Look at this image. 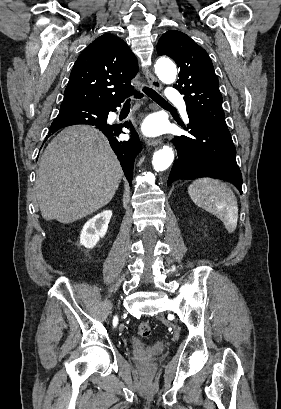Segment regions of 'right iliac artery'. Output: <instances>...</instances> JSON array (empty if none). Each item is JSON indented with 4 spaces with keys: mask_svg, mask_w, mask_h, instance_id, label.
Segmentation results:
<instances>
[{
    "mask_svg": "<svg viewBox=\"0 0 281 409\" xmlns=\"http://www.w3.org/2000/svg\"><path fill=\"white\" fill-rule=\"evenodd\" d=\"M117 323V319H114V325Z\"/></svg>",
    "mask_w": 281,
    "mask_h": 409,
    "instance_id": "right-iliac-artery-1",
    "label": "right iliac artery"
}]
</instances>
